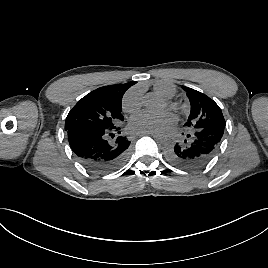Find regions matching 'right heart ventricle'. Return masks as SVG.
Returning a JSON list of instances; mask_svg holds the SVG:
<instances>
[{
	"instance_id": "obj_1",
	"label": "right heart ventricle",
	"mask_w": 268,
	"mask_h": 268,
	"mask_svg": "<svg viewBox=\"0 0 268 268\" xmlns=\"http://www.w3.org/2000/svg\"><path fill=\"white\" fill-rule=\"evenodd\" d=\"M154 90L165 99H171L175 95V88L166 82H157L154 85Z\"/></svg>"
}]
</instances>
